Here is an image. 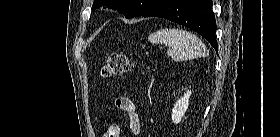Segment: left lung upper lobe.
<instances>
[{"label": "left lung upper lobe", "mask_w": 280, "mask_h": 137, "mask_svg": "<svg viewBox=\"0 0 280 137\" xmlns=\"http://www.w3.org/2000/svg\"><path fill=\"white\" fill-rule=\"evenodd\" d=\"M161 0H94L92 10L110 5L126 18L142 16Z\"/></svg>", "instance_id": "5c2ea615"}]
</instances>
